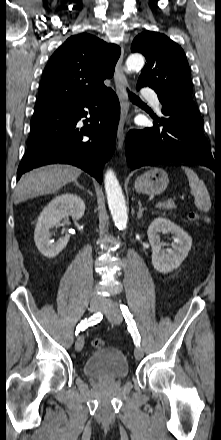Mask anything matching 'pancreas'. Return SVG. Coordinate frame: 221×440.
<instances>
[{
	"mask_svg": "<svg viewBox=\"0 0 221 440\" xmlns=\"http://www.w3.org/2000/svg\"><path fill=\"white\" fill-rule=\"evenodd\" d=\"M158 208L162 209V210H171V209L176 208V204L173 200H169V201L162 203Z\"/></svg>",
	"mask_w": 221,
	"mask_h": 440,
	"instance_id": "1",
	"label": "pancreas"
}]
</instances>
